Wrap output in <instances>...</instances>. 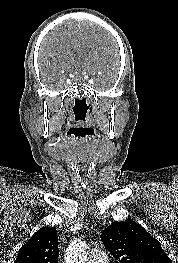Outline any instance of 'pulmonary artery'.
I'll return each instance as SVG.
<instances>
[{"instance_id":"1","label":"pulmonary artery","mask_w":178,"mask_h":263,"mask_svg":"<svg viewBox=\"0 0 178 263\" xmlns=\"http://www.w3.org/2000/svg\"><path fill=\"white\" fill-rule=\"evenodd\" d=\"M89 263H108L107 255L101 249H92L89 252Z\"/></svg>"}]
</instances>
